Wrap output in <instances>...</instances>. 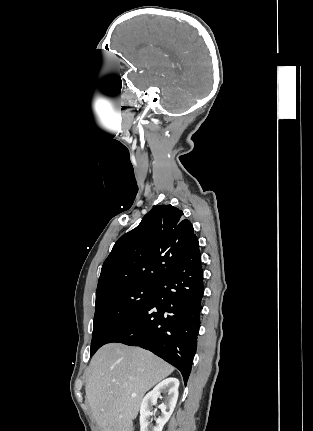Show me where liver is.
<instances>
[{"instance_id": "obj_1", "label": "liver", "mask_w": 313, "mask_h": 431, "mask_svg": "<svg viewBox=\"0 0 313 431\" xmlns=\"http://www.w3.org/2000/svg\"><path fill=\"white\" fill-rule=\"evenodd\" d=\"M173 371L142 348L121 343L101 347L90 362L85 387L101 431H132L145 393Z\"/></svg>"}]
</instances>
